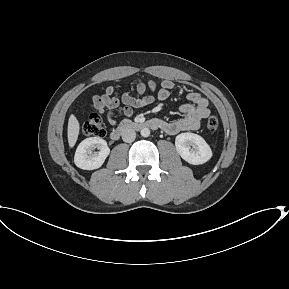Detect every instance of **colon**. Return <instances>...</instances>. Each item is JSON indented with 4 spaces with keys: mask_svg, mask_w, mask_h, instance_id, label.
<instances>
[{
    "mask_svg": "<svg viewBox=\"0 0 289 289\" xmlns=\"http://www.w3.org/2000/svg\"><path fill=\"white\" fill-rule=\"evenodd\" d=\"M207 129L214 132L219 127V120L215 116L208 118L206 123ZM82 133L85 136L101 137L105 134V128L102 119L98 115H92L82 126Z\"/></svg>",
    "mask_w": 289,
    "mask_h": 289,
    "instance_id": "1",
    "label": "colon"
}]
</instances>
